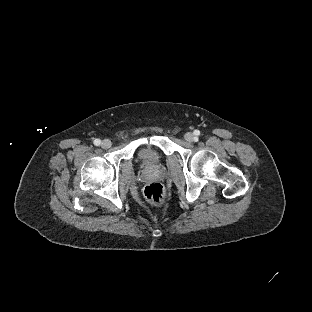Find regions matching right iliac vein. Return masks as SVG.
Wrapping results in <instances>:
<instances>
[{
  "instance_id": "obj_1",
  "label": "right iliac vein",
  "mask_w": 312,
  "mask_h": 312,
  "mask_svg": "<svg viewBox=\"0 0 312 312\" xmlns=\"http://www.w3.org/2000/svg\"><path fill=\"white\" fill-rule=\"evenodd\" d=\"M102 148L107 149L111 146V141L108 139H105L101 143Z\"/></svg>"
}]
</instances>
